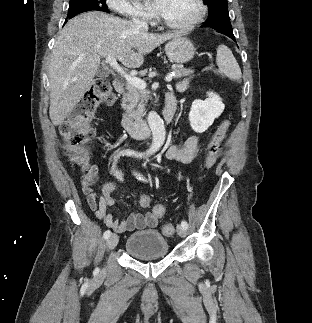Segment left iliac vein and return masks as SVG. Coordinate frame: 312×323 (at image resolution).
<instances>
[{
  "instance_id": "1",
  "label": "left iliac vein",
  "mask_w": 312,
  "mask_h": 323,
  "mask_svg": "<svg viewBox=\"0 0 312 323\" xmlns=\"http://www.w3.org/2000/svg\"><path fill=\"white\" fill-rule=\"evenodd\" d=\"M177 233L179 236L185 237L186 236V229L182 225H178L177 226Z\"/></svg>"
}]
</instances>
